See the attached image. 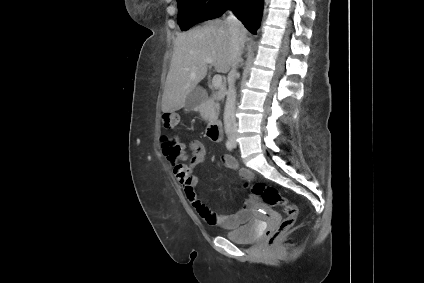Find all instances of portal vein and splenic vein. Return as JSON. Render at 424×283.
Returning <instances> with one entry per match:
<instances>
[{
	"instance_id": "obj_1",
	"label": "portal vein and splenic vein",
	"mask_w": 424,
	"mask_h": 283,
	"mask_svg": "<svg viewBox=\"0 0 424 283\" xmlns=\"http://www.w3.org/2000/svg\"><path fill=\"white\" fill-rule=\"evenodd\" d=\"M208 63H211V60H207ZM212 85L214 88H218L222 85V76L220 74H216L213 76Z\"/></svg>"
}]
</instances>
